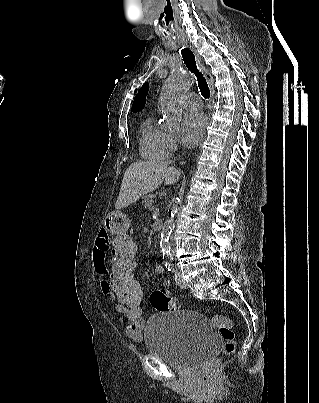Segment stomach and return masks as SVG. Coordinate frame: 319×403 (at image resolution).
<instances>
[{
  "label": "stomach",
  "instance_id": "0dacf381",
  "mask_svg": "<svg viewBox=\"0 0 319 403\" xmlns=\"http://www.w3.org/2000/svg\"><path fill=\"white\" fill-rule=\"evenodd\" d=\"M129 225L130 221L127 212H111L104 220V227L111 234H126Z\"/></svg>",
  "mask_w": 319,
  "mask_h": 403
}]
</instances>
